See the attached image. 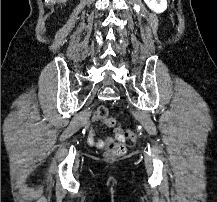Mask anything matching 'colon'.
Returning <instances> with one entry per match:
<instances>
[{
    "mask_svg": "<svg viewBox=\"0 0 217 202\" xmlns=\"http://www.w3.org/2000/svg\"><path fill=\"white\" fill-rule=\"evenodd\" d=\"M107 108L105 104H100L99 108L97 109V116L104 120V126H112L117 120L115 118H107ZM126 136L129 140H135L136 136L134 135V131H126ZM124 145L122 143H113L110 145L109 149L106 152V155L109 158H115L123 155L124 153Z\"/></svg>",
    "mask_w": 217,
    "mask_h": 202,
    "instance_id": "5ec220e1",
    "label": "colon"
}]
</instances>
